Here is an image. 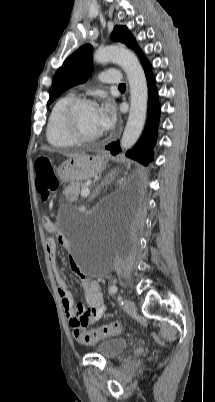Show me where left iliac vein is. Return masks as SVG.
<instances>
[{"mask_svg": "<svg viewBox=\"0 0 215 402\" xmlns=\"http://www.w3.org/2000/svg\"><path fill=\"white\" fill-rule=\"evenodd\" d=\"M124 308L128 313H135L136 312V306L133 301L126 299L124 301Z\"/></svg>", "mask_w": 215, "mask_h": 402, "instance_id": "1", "label": "left iliac vein"}]
</instances>
